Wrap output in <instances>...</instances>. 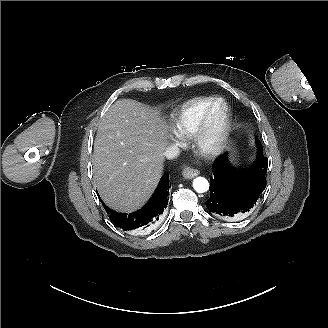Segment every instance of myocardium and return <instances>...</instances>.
I'll return each instance as SVG.
<instances>
[{
	"label": "myocardium",
	"instance_id": "obj_1",
	"mask_svg": "<svg viewBox=\"0 0 328 328\" xmlns=\"http://www.w3.org/2000/svg\"><path fill=\"white\" fill-rule=\"evenodd\" d=\"M221 110L223 121L219 128L210 125L211 116ZM233 130V113L227 100L215 97L195 117L189 140L195 151L206 159H216L223 156L230 144Z\"/></svg>",
	"mask_w": 328,
	"mask_h": 328
}]
</instances>
